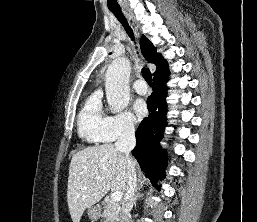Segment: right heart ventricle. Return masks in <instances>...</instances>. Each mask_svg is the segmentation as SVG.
Returning <instances> with one entry per match:
<instances>
[{
    "mask_svg": "<svg viewBox=\"0 0 257 222\" xmlns=\"http://www.w3.org/2000/svg\"><path fill=\"white\" fill-rule=\"evenodd\" d=\"M106 120L101 93L96 91L88 97L78 115L79 136L89 144L105 142L103 129Z\"/></svg>",
    "mask_w": 257,
    "mask_h": 222,
    "instance_id": "e07e8e85",
    "label": "right heart ventricle"
}]
</instances>
